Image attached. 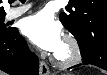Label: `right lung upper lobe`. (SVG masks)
I'll return each mask as SVG.
<instances>
[{
  "instance_id": "right-lung-upper-lobe-1",
  "label": "right lung upper lobe",
  "mask_w": 107,
  "mask_h": 75,
  "mask_svg": "<svg viewBox=\"0 0 107 75\" xmlns=\"http://www.w3.org/2000/svg\"><path fill=\"white\" fill-rule=\"evenodd\" d=\"M2 3V0H0V4ZM0 14H5L4 8L1 6L0 7Z\"/></svg>"
}]
</instances>
